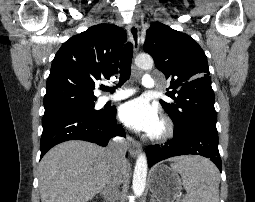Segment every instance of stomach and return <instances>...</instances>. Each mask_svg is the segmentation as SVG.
Masks as SVG:
<instances>
[{
	"mask_svg": "<svg viewBox=\"0 0 255 202\" xmlns=\"http://www.w3.org/2000/svg\"><path fill=\"white\" fill-rule=\"evenodd\" d=\"M149 187L158 202H174L180 196L182 182L177 172L166 165H158L151 173Z\"/></svg>",
	"mask_w": 255,
	"mask_h": 202,
	"instance_id": "0dacf381",
	"label": "stomach"
}]
</instances>
